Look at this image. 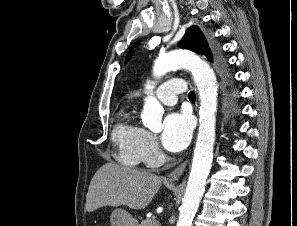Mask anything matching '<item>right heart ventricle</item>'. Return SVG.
I'll use <instances>...</instances> for the list:
<instances>
[{"label":"right heart ventricle","mask_w":297,"mask_h":226,"mask_svg":"<svg viewBox=\"0 0 297 226\" xmlns=\"http://www.w3.org/2000/svg\"><path fill=\"white\" fill-rule=\"evenodd\" d=\"M144 131L133 121L130 112L114 127L112 140L117 148L116 159L121 164L136 166L141 162Z\"/></svg>","instance_id":"1"}]
</instances>
